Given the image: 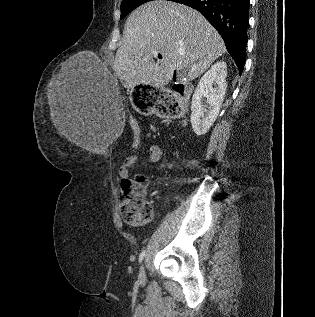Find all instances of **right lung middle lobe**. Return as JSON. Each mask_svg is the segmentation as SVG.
Listing matches in <instances>:
<instances>
[{"label": "right lung middle lobe", "mask_w": 315, "mask_h": 317, "mask_svg": "<svg viewBox=\"0 0 315 317\" xmlns=\"http://www.w3.org/2000/svg\"><path fill=\"white\" fill-rule=\"evenodd\" d=\"M153 0H123L121 4V17L123 19L129 12L137 8L138 6ZM175 1V0H169Z\"/></svg>", "instance_id": "dd1d6c3e"}]
</instances>
